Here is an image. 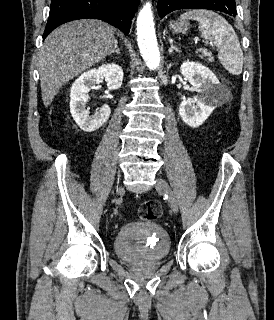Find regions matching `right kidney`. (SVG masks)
<instances>
[{
  "instance_id": "obj_1",
  "label": "right kidney",
  "mask_w": 274,
  "mask_h": 320,
  "mask_svg": "<svg viewBox=\"0 0 274 320\" xmlns=\"http://www.w3.org/2000/svg\"><path fill=\"white\" fill-rule=\"evenodd\" d=\"M100 78H104L107 82L108 90H118L122 86L123 70L118 64H103L99 68L81 74L71 86L70 114L83 132H96L110 118L109 106L97 108L94 116H89V110H86L88 92L95 84H99Z\"/></svg>"
}]
</instances>
